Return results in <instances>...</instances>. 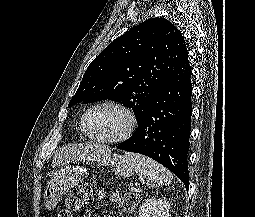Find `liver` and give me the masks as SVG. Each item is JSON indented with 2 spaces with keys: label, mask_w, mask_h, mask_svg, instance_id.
Returning a JSON list of instances; mask_svg holds the SVG:
<instances>
[{
  "label": "liver",
  "mask_w": 255,
  "mask_h": 217,
  "mask_svg": "<svg viewBox=\"0 0 255 217\" xmlns=\"http://www.w3.org/2000/svg\"><path fill=\"white\" fill-rule=\"evenodd\" d=\"M111 150L99 144L68 145L55 153L52 161L53 167L65 166L71 162L81 160H96L103 156L108 157Z\"/></svg>",
  "instance_id": "1"
}]
</instances>
